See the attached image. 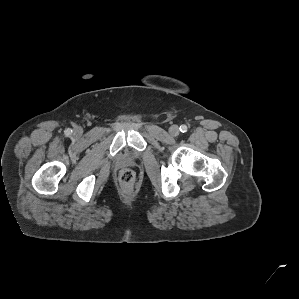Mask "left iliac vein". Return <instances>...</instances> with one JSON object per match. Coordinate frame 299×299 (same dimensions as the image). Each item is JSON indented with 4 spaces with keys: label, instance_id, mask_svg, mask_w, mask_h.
<instances>
[{
    "label": "left iliac vein",
    "instance_id": "4c4485c4",
    "mask_svg": "<svg viewBox=\"0 0 299 299\" xmlns=\"http://www.w3.org/2000/svg\"><path fill=\"white\" fill-rule=\"evenodd\" d=\"M169 133L172 135V136H178L180 131H179V127L177 125H172L170 128H169Z\"/></svg>",
    "mask_w": 299,
    "mask_h": 299
}]
</instances>
